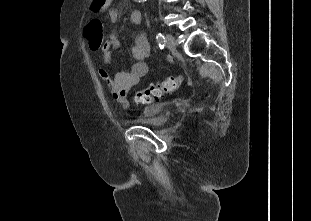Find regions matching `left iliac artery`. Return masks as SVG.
<instances>
[{"mask_svg":"<svg viewBox=\"0 0 311 221\" xmlns=\"http://www.w3.org/2000/svg\"><path fill=\"white\" fill-rule=\"evenodd\" d=\"M156 40L160 49H163L165 46V37L161 32L157 33Z\"/></svg>","mask_w":311,"mask_h":221,"instance_id":"44dca946","label":"left iliac artery"}]
</instances>
